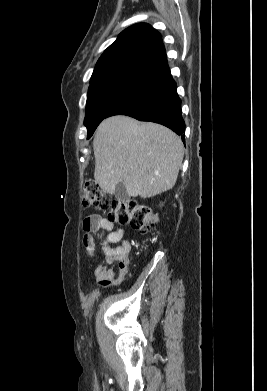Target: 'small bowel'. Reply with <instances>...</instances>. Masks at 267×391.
Returning a JSON list of instances; mask_svg holds the SVG:
<instances>
[{"label":"small bowel","instance_id":"obj_1","mask_svg":"<svg viewBox=\"0 0 267 391\" xmlns=\"http://www.w3.org/2000/svg\"><path fill=\"white\" fill-rule=\"evenodd\" d=\"M83 229L87 233L84 236L83 244L89 255L95 250V242L89 234L91 232L106 231L107 235L101 243L105 255V262L95 269L97 281L102 286L115 285L120 283L127 273L129 255L131 253L130 241L124 238V231L115 224L98 214L89 215L84 219ZM120 243L118 246L112 244ZM118 263V272L115 273L112 265Z\"/></svg>","mask_w":267,"mask_h":391}]
</instances>
